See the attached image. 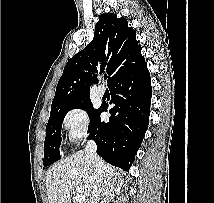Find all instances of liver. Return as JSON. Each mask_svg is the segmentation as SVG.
<instances>
[{"instance_id": "1", "label": "liver", "mask_w": 214, "mask_h": 203, "mask_svg": "<svg viewBox=\"0 0 214 203\" xmlns=\"http://www.w3.org/2000/svg\"><path fill=\"white\" fill-rule=\"evenodd\" d=\"M100 199L111 200L120 193L121 175L112 166L103 162ZM93 167L83 151H78L53 165L46 175V189L49 203H71L75 188L81 187L90 203L96 194V185L91 179Z\"/></svg>"}]
</instances>
